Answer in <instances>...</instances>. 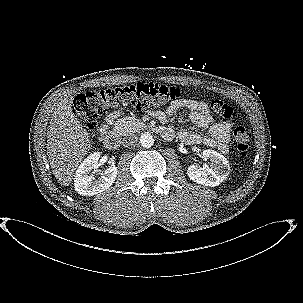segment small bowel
I'll return each instance as SVG.
<instances>
[{
	"label": "small bowel",
	"instance_id": "small-bowel-1",
	"mask_svg": "<svg viewBox=\"0 0 303 303\" xmlns=\"http://www.w3.org/2000/svg\"><path fill=\"white\" fill-rule=\"evenodd\" d=\"M182 109H188L190 111L191 121L196 127L207 130L208 133L207 135H202L197 132L180 130L178 132V137L181 141L193 145L204 144L211 148H217L223 153L228 152L229 134L232 123L228 121L216 123L210 112L209 106L205 102L193 99L176 100L169 105L165 112L157 111L153 113V116L164 124L169 117L176 115ZM120 115L121 111L119 110L110 112L105 118V123L101 126V132L105 133ZM164 135L167 138H171L174 135V131L167 128L164 131Z\"/></svg>",
	"mask_w": 303,
	"mask_h": 303
}]
</instances>
